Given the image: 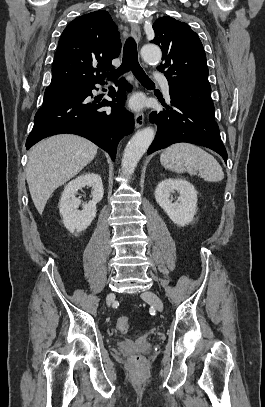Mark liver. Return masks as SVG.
Segmentation results:
<instances>
[{
	"label": "liver",
	"instance_id": "6515ba94",
	"mask_svg": "<svg viewBox=\"0 0 265 407\" xmlns=\"http://www.w3.org/2000/svg\"><path fill=\"white\" fill-rule=\"evenodd\" d=\"M97 149L91 141L72 134L49 137L31 148L26 180L39 214L52 193L94 159Z\"/></svg>",
	"mask_w": 265,
	"mask_h": 407
}]
</instances>
